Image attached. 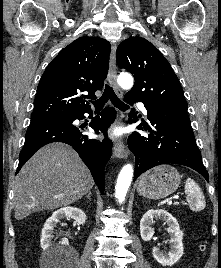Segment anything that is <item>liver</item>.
Instances as JSON below:
<instances>
[{"instance_id": "6515ba94", "label": "liver", "mask_w": 221, "mask_h": 268, "mask_svg": "<svg viewBox=\"0 0 221 268\" xmlns=\"http://www.w3.org/2000/svg\"><path fill=\"white\" fill-rule=\"evenodd\" d=\"M93 185L90 171L69 145H46L15 178V218L22 220L37 211L70 205L86 195Z\"/></svg>"}]
</instances>
